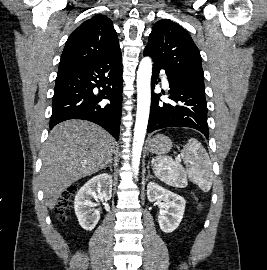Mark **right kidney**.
<instances>
[{
	"mask_svg": "<svg viewBox=\"0 0 267 270\" xmlns=\"http://www.w3.org/2000/svg\"><path fill=\"white\" fill-rule=\"evenodd\" d=\"M112 176L106 173L97 175L88 180L78 191L74 209L79 224L84 230L91 231L100 219L98 210L91 213V207L96 206L91 200H110L112 196Z\"/></svg>",
	"mask_w": 267,
	"mask_h": 270,
	"instance_id": "1",
	"label": "right kidney"
}]
</instances>
